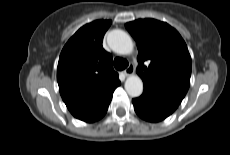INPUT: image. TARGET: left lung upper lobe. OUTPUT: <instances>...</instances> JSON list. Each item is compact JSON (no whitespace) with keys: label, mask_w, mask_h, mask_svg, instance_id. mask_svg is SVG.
Wrapping results in <instances>:
<instances>
[{"label":"left lung upper lobe","mask_w":230,"mask_h":155,"mask_svg":"<svg viewBox=\"0 0 230 155\" xmlns=\"http://www.w3.org/2000/svg\"><path fill=\"white\" fill-rule=\"evenodd\" d=\"M137 43V74L144 87L177 103L185 97L191 76V57L180 34L169 24L155 19H139L125 25ZM145 61L149 66L143 65Z\"/></svg>","instance_id":"1"}]
</instances>
